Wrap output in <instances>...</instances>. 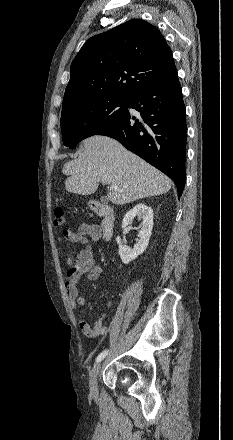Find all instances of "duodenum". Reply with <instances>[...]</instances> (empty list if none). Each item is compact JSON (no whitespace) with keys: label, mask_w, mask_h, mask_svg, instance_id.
<instances>
[{"label":"duodenum","mask_w":233,"mask_h":440,"mask_svg":"<svg viewBox=\"0 0 233 440\" xmlns=\"http://www.w3.org/2000/svg\"><path fill=\"white\" fill-rule=\"evenodd\" d=\"M95 213L102 217L100 224V235L103 240H109L113 236L114 226H115V214L114 211L102 204L95 203L94 205Z\"/></svg>","instance_id":"410a0bca"}]
</instances>
